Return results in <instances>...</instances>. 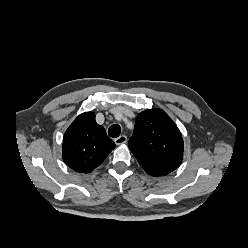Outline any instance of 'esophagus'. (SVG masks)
I'll use <instances>...</instances> for the list:
<instances>
[{
  "label": "esophagus",
  "mask_w": 248,
  "mask_h": 248,
  "mask_svg": "<svg viewBox=\"0 0 248 248\" xmlns=\"http://www.w3.org/2000/svg\"><path fill=\"white\" fill-rule=\"evenodd\" d=\"M116 145H122L127 142V137L125 135H121L114 139Z\"/></svg>",
  "instance_id": "obj_1"
}]
</instances>
